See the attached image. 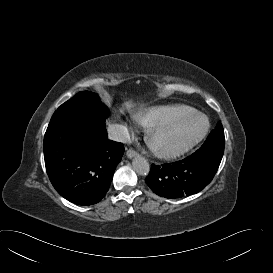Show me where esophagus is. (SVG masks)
<instances>
[{
    "label": "esophagus",
    "mask_w": 273,
    "mask_h": 273,
    "mask_svg": "<svg viewBox=\"0 0 273 273\" xmlns=\"http://www.w3.org/2000/svg\"><path fill=\"white\" fill-rule=\"evenodd\" d=\"M138 155V153L135 151V150H133V149H129L127 152H126V156L128 157V158H133V157H136Z\"/></svg>",
    "instance_id": "esophagus-1"
}]
</instances>
